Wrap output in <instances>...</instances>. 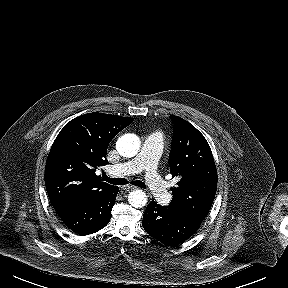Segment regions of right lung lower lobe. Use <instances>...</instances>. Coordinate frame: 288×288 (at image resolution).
I'll use <instances>...</instances> for the list:
<instances>
[{
	"mask_svg": "<svg viewBox=\"0 0 288 288\" xmlns=\"http://www.w3.org/2000/svg\"><path fill=\"white\" fill-rule=\"evenodd\" d=\"M118 191L119 188L114 186L91 199L55 210L64 224L75 233L92 234L110 221Z\"/></svg>",
	"mask_w": 288,
	"mask_h": 288,
	"instance_id": "right-lung-lower-lobe-1",
	"label": "right lung lower lobe"
}]
</instances>
